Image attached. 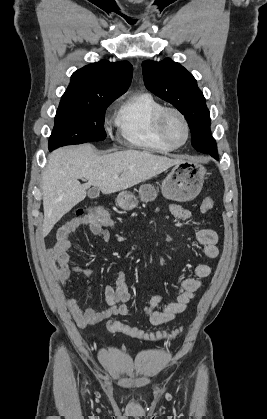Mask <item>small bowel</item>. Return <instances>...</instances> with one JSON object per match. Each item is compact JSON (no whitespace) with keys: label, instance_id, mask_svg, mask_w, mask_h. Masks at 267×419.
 <instances>
[{"label":"small bowel","instance_id":"small-bowel-1","mask_svg":"<svg viewBox=\"0 0 267 419\" xmlns=\"http://www.w3.org/2000/svg\"><path fill=\"white\" fill-rule=\"evenodd\" d=\"M170 210L174 217L181 220H187L192 215L190 210L178 204L171 205ZM83 226H87L90 232L101 240L105 242L110 240V232L93 216H76L64 223L57 231L56 244L46 252L54 277L63 287L68 286L72 282L74 273L82 274L87 278L92 277L90 269L70 265L69 252L72 244L69 240V235ZM195 239L201 245L204 256L209 259H214L218 256V235L213 229L204 227L198 230ZM211 273L212 268L208 264H197L192 270V276L180 279L175 300L163 303L160 295H154L144 308V318H147L153 325H161L173 320L178 314L186 310L189 302L200 289L202 285L201 280L208 277ZM104 295L108 307L103 311H97L93 308L83 309L78 305L74 297L66 299V305L79 327L86 328L97 325L113 315L132 316L127 305L130 293L128 292L126 273L124 271L116 272L114 284L105 287Z\"/></svg>","mask_w":267,"mask_h":419}]
</instances>
